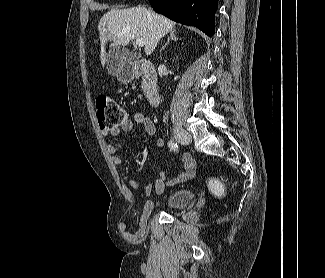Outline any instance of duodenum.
<instances>
[{"mask_svg":"<svg viewBox=\"0 0 325 278\" xmlns=\"http://www.w3.org/2000/svg\"><path fill=\"white\" fill-rule=\"evenodd\" d=\"M134 75L142 79L144 96L151 107H156L160 103V94L157 84L156 72L152 64L140 59L135 63Z\"/></svg>","mask_w":325,"mask_h":278,"instance_id":"obj_1","label":"duodenum"}]
</instances>
